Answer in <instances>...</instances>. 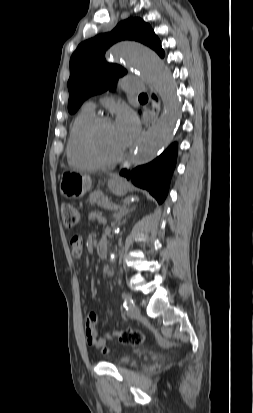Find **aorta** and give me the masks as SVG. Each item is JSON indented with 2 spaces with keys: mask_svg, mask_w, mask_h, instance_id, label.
<instances>
[{
  "mask_svg": "<svg viewBox=\"0 0 253 413\" xmlns=\"http://www.w3.org/2000/svg\"><path fill=\"white\" fill-rule=\"evenodd\" d=\"M110 56L114 60H123L126 67L139 71L144 79L153 84L163 101V114L136 144L133 164H146L174 137L182 106L176 94V83L159 56L140 43L120 42L111 48Z\"/></svg>",
  "mask_w": 253,
  "mask_h": 413,
  "instance_id": "762f6f07",
  "label": "aorta"
}]
</instances>
